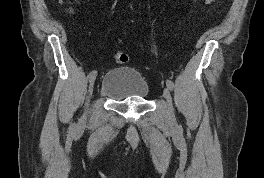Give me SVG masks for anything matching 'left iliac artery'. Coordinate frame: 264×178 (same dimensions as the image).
Instances as JSON below:
<instances>
[{
  "label": "left iliac artery",
  "instance_id": "left-iliac-artery-1",
  "mask_svg": "<svg viewBox=\"0 0 264 178\" xmlns=\"http://www.w3.org/2000/svg\"><path fill=\"white\" fill-rule=\"evenodd\" d=\"M166 85H167V87H168L170 90H173V88H174V83H173L172 80L168 79V80L166 81Z\"/></svg>",
  "mask_w": 264,
  "mask_h": 178
}]
</instances>
